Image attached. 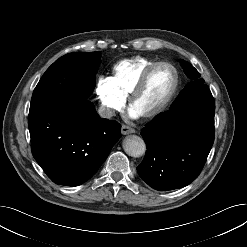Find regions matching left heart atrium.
Masks as SVG:
<instances>
[{
    "instance_id": "39dd6f15",
    "label": "left heart atrium",
    "mask_w": 247,
    "mask_h": 247,
    "mask_svg": "<svg viewBox=\"0 0 247 247\" xmlns=\"http://www.w3.org/2000/svg\"><path fill=\"white\" fill-rule=\"evenodd\" d=\"M129 116L132 118H138L140 115L136 113L132 108L129 110Z\"/></svg>"
}]
</instances>
